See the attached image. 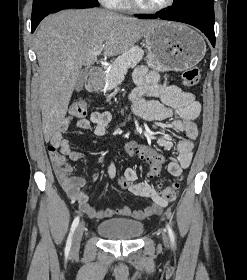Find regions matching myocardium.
Returning a JSON list of instances; mask_svg holds the SVG:
<instances>
[{
	"label": "myocardium",
	"mask_w": 247,
	"mask_h": 280,
	"mask_svg": "<svg viewBox=\"0 0 247 280\" xmlns=\"http://www.w3.org/2000/svg\"><path fill=\"white\" fill-rule=\"evenodd\" d=\"M128 4L134 8L135 10H138L140 12L144 13H159L162 11H165L172 7L175 3V0H166L165 3L155 6V7H147L142 5L138 0H127Z\"/></svg>",
	"instance_id": "1"
}]
</instances>
